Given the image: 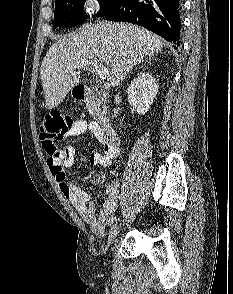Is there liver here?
<instances>
[{
  "mask_svg": "<svg viewBox=\"0 0 233 294\" xmlns=\"http://www.w3.org/2000/svg\"><path fill=\"white\" fill-rule=\"evenodd\" d=\"M163 45L152 32L129 23L83 25L77 33L53 43L42 61L40 79L46 108L57 107L79 85V62L104 63L110 68V84L117 86L135 65L161 51Z\"/></svg>",
  "mask_w": 233,
  "mask_h": 294,
  "instance_id": "liver-1",
  "label": "liver"
}]
</instances>
